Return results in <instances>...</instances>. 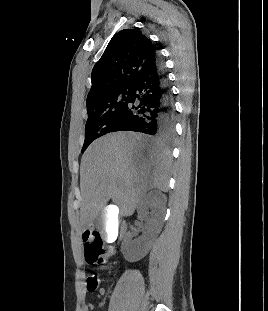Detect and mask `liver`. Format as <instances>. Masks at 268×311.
<instances>
[{
	"instance_id": "1",
	"label": "liver",
	"mask_w": 268,
	"mask_h": 311,
	"mask_svg": "<svg viewBox=\"0 0 268 311\" xmlns=\"http://www.w3.org/2000/svg\"><path fill=\"white\" fill-rule=\"evenodd\" d=\"M170 165L169 152L148 145L141 134L116 132L95 140L81 159L79 229L107 215L109 200L118 206L113 211L130 216L148 190L167 192Z\"/></svg>"
}]
</instances>
